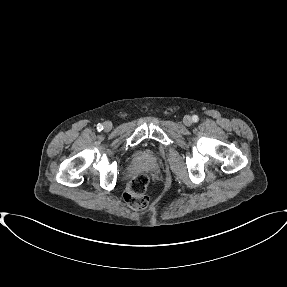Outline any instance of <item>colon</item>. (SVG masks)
Instances as JSON below:
<instances>
[{
  "label": "colon",
  "mask_w": 287,
  "mask_h": 287,
  "mask_svg": "<svg viewBox=\"0 0 287 287\" xmlns=\"http://www.w3.org/2000/svg\"><path fill=\"white\" fill-rule=\"evenodd\" d=\"M149 178L144 173L136 174L128 183L124 200L126 203L135 210H141L148 206L149 197L146 194Z\"/></svg>",
  "instance_id": "colon-1"
}]
</instances>
